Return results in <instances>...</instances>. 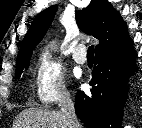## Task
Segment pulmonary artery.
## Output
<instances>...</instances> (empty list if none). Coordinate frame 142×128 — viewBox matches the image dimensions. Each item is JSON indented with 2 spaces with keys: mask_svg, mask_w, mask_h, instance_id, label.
<instances>
[{
  "mask_svg": "<svg viewBox=\"0 0 142 128\" xmlns=\"http://www.w3.org/2000/svg\"><path fill=\"white\" fill-rule=\"evenodd\" d=\"M73 59L79 63L84 64L86 62V48L83 44H79L72 53Z\"/></svg>",
  "mask_w": 142,
  "mask_h": 128,
  "instance_id": "1",
  "label": "pulmonary artery"
}]
</instances>
